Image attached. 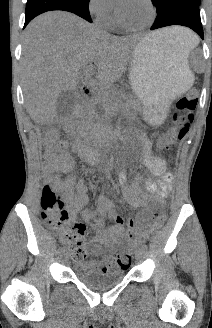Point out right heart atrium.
<instances>
[{"mask_svg": "<svg viewBox=\"0 0 212 328\" xmlns=\"http://www.w3.org/2000/svg\"><path fill=\"white\" fill-rule=\"evenodd\" d=\"M88 10L100 23L108 21L114 12V6L110 0H89Z\"/></svg>", "mask_w": 212, "mask_h": 328, "instance_id": "right-heart-atrium-1", "label": "right heart atrium"}]
</instances>
